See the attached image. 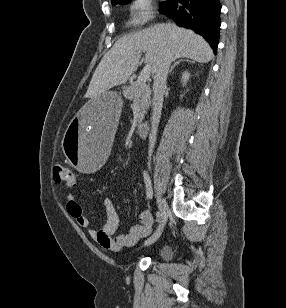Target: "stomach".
<instances>
[{
  "label": "stomach",
  "instance_id": "0dacf381",
  "mask_svg": "<svg viewBox=\"0 0 286 308\" xmlns=\"http://www.w3.org/2000/svg\"><path fill=\"white\" fill-rule=\"evenodd\" d=\"M122 99L110 89L89 97L80 113L65 122L62 149L75 171L97 174L113 149L112 133H119Z\"/></svg>",
  "mask_w": 286,
  "mask_h": 308
}]
</instances>
